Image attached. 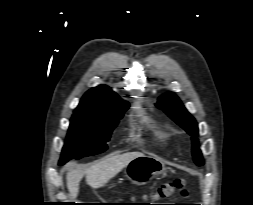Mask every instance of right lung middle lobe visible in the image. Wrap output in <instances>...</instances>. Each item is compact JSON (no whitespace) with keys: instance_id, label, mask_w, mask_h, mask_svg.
<instances>
[{"instance_id":"1","label":"right lung middle lobe","mask_w":253,"mask_h":205,"mask_svg":"<svg viewBox=\"0 0 253 205\" xmlns=\"http://www.w3.org/2000/svg\"><path fill=\"white\" fill-rule=\"evenodd\" d=\"M128 108L129 104L123 101L116 104L105 115L74 112L59 164L63 165L72 158L105 151L106 142Z\"/></svg>"}]
</instances>
